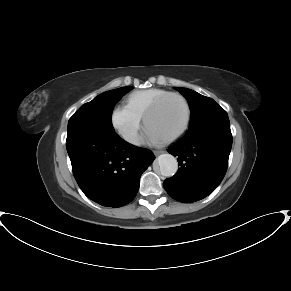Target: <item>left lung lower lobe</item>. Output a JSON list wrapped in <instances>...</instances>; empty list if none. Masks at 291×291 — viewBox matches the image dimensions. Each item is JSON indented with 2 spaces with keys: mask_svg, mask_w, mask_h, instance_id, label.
Wrapping results in <instances>:
<instances>
[{
  "mask_svg": "<svg viewBox=\"0 0 291 291\" xmlns=\"http://www.w3.org/2000/svg\"><path fill=\"white\" fill-rule=\"evenodd\" d=\"M232 134L228 118L186 133L168 152L178 157L180 168L164 181L175 200L191 203L212 193L221 183L228 166Z\"/></svg>",
  "mask_w": 291,
  "mask_h": 291,
  "instance_id": "0a47b994",
  "label": "left lung lower lobe"
}]
</instances>
